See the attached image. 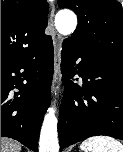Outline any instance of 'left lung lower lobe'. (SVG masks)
Here are the masks:
<instances>
[{"label":"left lung lower lobe","instance_id":"left-lung-lower-lobe-1","mask_svg":"<svg viewBox=\"0 0 123 152\" xmlns=\"http://www.w3.org/2000/svg\"><path fill=\"white\" fill-rule=\"evenodd\" d=\"M61 59L65 91L58 122L60 150L97 135L123 140V65L66 42ZM76 74L83 79L82 88L70 80Z\"/></svg>","mask_w":123,"mask_h":152}]
</instances>
